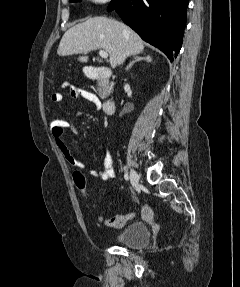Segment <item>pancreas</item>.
<instances>
[{"label":"pancreas","mask_w":240,"mask_h":287,"mask_svg":"<svg viewBox=\"0 0 240 287\" xmlns=\"http://www.w3.org/2000/svg\"><path fill=\"white\" fill-rule=\"evenodd\" d=\"M114 83L111 82H99L98 87H97V91L100 97L104 98L107 96V94H109L113 88Z\"/></svg>","instance_id":"cf45deb5"}]
</instances>
